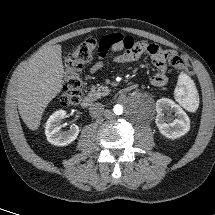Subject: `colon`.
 <instances>
[{"label":"colon","mask_w":215,"mask_h":215,"mask_svg":"<svg viewBox=\"0 0 215 215\" xmlns=\"http://www.w3.org/2000/svg\"><path fill=\"white\" fill-rule=\"evenodd\" d=\"M99 50V42L95 38H88L65 58V77L63 92L59 97L62 105L77 104L83 95V80L81 71L83 65L89 62ZM168 61L176 68L190 72L187 59L180 54L171 52L168 54Z\"/></svg>","instance_id":"obj_1"}]
</instances>
